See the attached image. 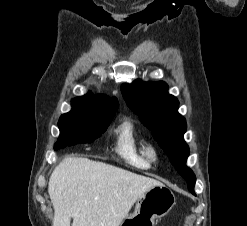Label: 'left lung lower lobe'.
Here are the masks:
<instances>
[{"label": "left lung lower lobe", "mask_w": 247, "mask_h": 226, "mask_svg": "<svg viewBox=\"0 0 247 226\" xmlns=\"http://www.w3.org/2000/svg\"><path fill=\"white\" fill-rule=\"evenodd\" d=\"M189 175L193 178V182L192 183H188V189L192 194L195 195V193H194V185H195L196 177H195L193 172H190Z\"/></svg>", "instance_id": "0a47b994"}]
</instances>
